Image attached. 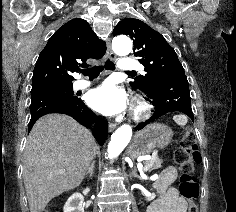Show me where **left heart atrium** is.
I'll use <instances>...</instances> for the list:
<instances>
[{
	"mask_svg": "<svg viewBox=\"0 0 236 212\" xmlns=\"http://www.w3.org/2000/svg\"><path fill=\"white\" fill-rule=\"evenodd\" d=\"M88 103L97 112L114 116L126 109L128 100L123 89L107 81L89 94Z\"/></svg>",
	"mask_w": 236,
	"mask_h": 212,
	"instance_id": "39dd6f15",
	"label": "left heart atrium"
}]
</instances>
